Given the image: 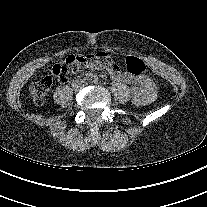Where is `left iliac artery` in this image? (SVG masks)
Masks as SVG:
<instances>
[{
    "label": "left iliac artery",
    "instance_id": "1",
    "mask_svg": "<svg viewBox=\"0 0 207 207\" xmlns=\"http://www.w3.org/2000/svg\"><path fill=\"white\" fill-rule=\"evenodd\" d=\"M98 80H99L98 77L94 76L93 79H92V82L96 84V83H98Z\"/></svg>",
    "mask_w": 207,
    "mask_h": 207
}]
</instances>
